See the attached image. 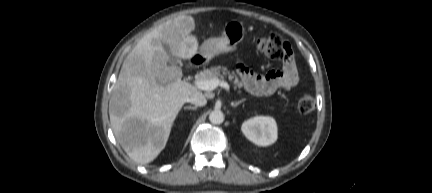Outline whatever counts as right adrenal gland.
I'll list each match as a JSON object with an SVG mask.
<instances>
[{
    "label": "right adrenal gland",
    "instance_id": "obj_1",
    "mask_svg": "<svg viewBox=\"0 0 432 193\" xmlns=\"http://www.w3.org/2000/svg\"><path fill=\"white\" fill-rule=\"evenodd\" d=\"M184 109H188V110H196L197 106H186L184 107Z\"/></svg>",
    "mask_w": 432,
    "mask_h": 193
}]
</instances>
